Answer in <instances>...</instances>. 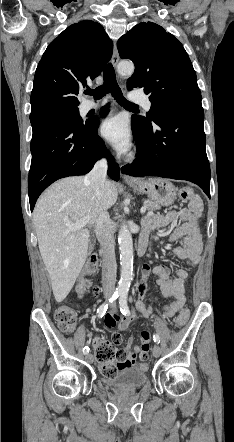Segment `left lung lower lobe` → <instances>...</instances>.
I'll return each mask as SVG.
<instances>
[{
  "label": "left lung lower lobe",
  "mask_w": 234,
  "mask_h": 442,
  "mask_svg": "<svg viewBox=\"0 0 234 442\" xmlns=\"http://www.w3.org/2000/svg\"><path fill=\"white\" fill-rule=\"evenodd\" d=\"M202 105L168 108L138 133L133 132L137 157L123 172L159 176L198 184L210 197V166L206 155Z\"/></svg>",
  "instance_id": "0a47b994"
}]
</instances>
